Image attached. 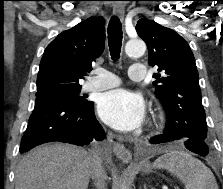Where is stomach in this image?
<instances>
[{
	"instance_id": "obj_1",
	"label": "stomach",
	"mask_w": 223,
	"mask_h": 189,
	"mask_svg": "<svg viewBox=\"0 0 223 189\" xmlns=\"http://www.w3.org/2000/svg\"><path fill=\"white\" fill-rule=\"evenodd\" d=\"M142 171L147 173L150 171V164L149 163H145L142 167Z\"/></svg>"
}]
</instances>
